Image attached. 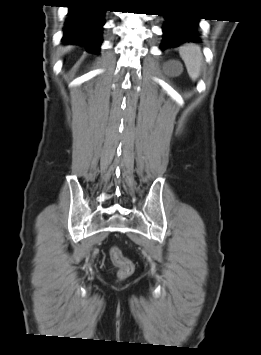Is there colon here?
<instances>
[{
    "mask_svg": "<svg viewBox=\"0 0 261 355\" xmlns=\"http://www.w3.org/2000/svg\"><path fill=\"white\" fill-rule=\"evenodd\" d=\"M109 255L112 263L118 267V276L120 278H126L133 273L134 264L122 254L118 247H111Z\"/></svg>",
    "mask_w": 261,
    "mask_h": 355,
    "instance_id": "5ec220e1",
    "label": "colon"
}]
</instances>
